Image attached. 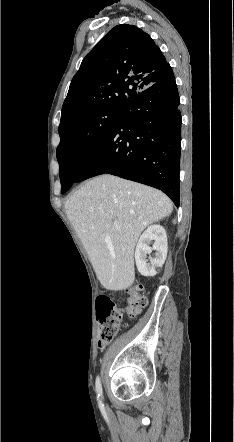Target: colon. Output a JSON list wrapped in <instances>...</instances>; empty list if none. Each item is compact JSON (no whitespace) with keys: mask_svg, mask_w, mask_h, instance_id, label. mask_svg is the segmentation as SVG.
Masks as SVG:
<instances>
[{"mask_svg":"<svg viewBox=\"0 0 234 442\" xmlns=\"http://www.w3.org/2000/svg\"><path fill=\"white\" fill-rule=\"evenodd\" d=\"M147 299L141 294L139 287L130 291L128 304L125 309L118 308L107 296H100L97 299V320H98V346L105 348L119 331L123 315L130 318L137 317L145 308Z\"/></svg>","mask_w":234,"mask_h":442,"instance_id":"1","label":"colon"}]
</instances>
